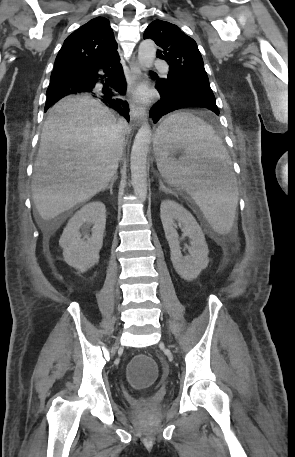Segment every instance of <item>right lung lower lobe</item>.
Here are the masks:
<instances>
[{
	"label": "right lung lower lobe",
	"instance_id": "obj_1",
	"mask_svg": "<svg viewBox=\"0 0 295 457\" xmlns=\"http://www.w3.org/2000/svg\"><path fill=\"white\" fill-rule=\"evenodd\" d=\"M119 61L120 57L116 53L86 68L52 72L45 111L67 95L84 93L101 99L129 120L128 103L118 98V95H125L126 92V81ZM98 82L103 84L102 88L96 86Z\"/></svg>",
	"mask_w": 295,
	"mask_h": 457
}]
</instances>
